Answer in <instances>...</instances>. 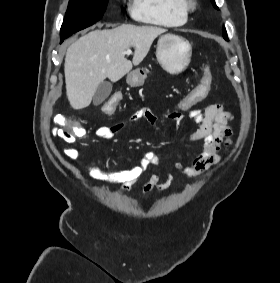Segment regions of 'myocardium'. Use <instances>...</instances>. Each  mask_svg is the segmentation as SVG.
I'll return each mask as SVG.
<instances>
[{
	"label": "myocardium",
	"instance_id": "myocardium-1",
	"mask_svg": "<svg viewBox=\"0 0 280 283\" xmlns=\"http://www.w3.org/2000/svg\"><path fill=\"white\" fill-rule=\"evenodd\" d=\"M187 10H194L196 8V1L195 0H183Z\"/></svg>",
	"mask_w": 280,
	"mask_h": 283
}]
</instances>
